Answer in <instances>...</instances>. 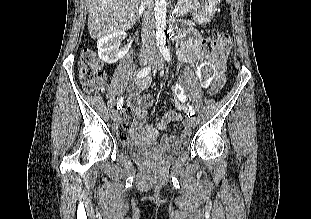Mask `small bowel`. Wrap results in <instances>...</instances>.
<instances>
[{
    "mask_svg": "<svg viewBox=\"0 0 311 219\" xmlns=\"http://www.w3.org/2000/svg\"><path fill=\"white\" fill-rule=\"evenodd\" d=\"M182 11H185L184 9ZM200 39L198 35L193 34L191 30H183L179 40V57L186 63H195L200 58L199 49ZM223 77L216 75L212 81L205 86H209V95H214L222 88ZM151 84V78L141 77L132 85L128 91V107L119 121L121 136H127L128 139L140 132L144 139L152 140L159 136L161 131L168 130L171 124H180L181 114L176 111H169L156 117L154 124L146 122L148 108L153 104L154 97L150 94L141 95V91L148 88ZM176 95L179 99H184V89L181 85L176 86ZM128 127L124 129V127ZM183 133L179 137H169L170 141L183 143L187 140L189 134L183 124ZM127 139V140H128Z\"/></svg>",
    "mask_w": 311,
    "mask_h": 219,
    "instance_id": "1",
    "label": "small bowel"
}]
</instances>
